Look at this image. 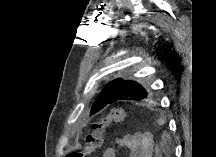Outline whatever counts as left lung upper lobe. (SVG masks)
Instances as JSON below:
<instances>
[{
  "instance_id": "5c2ea615",
  "label": "left lung upper lobe",
  "mask_w": 216,
  "mask_h": 157,
  "mask_svg": "<svg viewBox=\"0 0 216 157\" xmlns=\"http://www.w3.org/2000/svg\"><path fill=\"white\" fill-rule=\"evenodd\" d=\"M120 74H131V69H120ZM151 97V92L140 83L133 80L115 79L108 83L101 91L96 103L104 105L103 107L117 101H144ZM95 110L91 109V113Z\"/></svg>"
}]
</instances>
